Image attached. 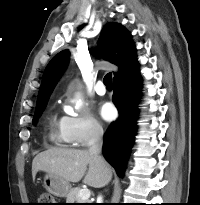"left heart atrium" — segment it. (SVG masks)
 <instances>
[{
    "label": "left heart atrium",
    "mask_w": 200,
    "mask_h": 205,
    "mask_svg": "<svg viewBox=\"0 0 200 205\" xmlns=\"http://www.w3.org/2000/svg\"><path fill=\"white\" fill-rule=\"evenodd\" d=\"M100 114L104 120L110 121L115 118L116 109L111 103L105 102L101 105Z\"/></svg>",
    "instance_id": "39dd6f15"
}]
</instances>
